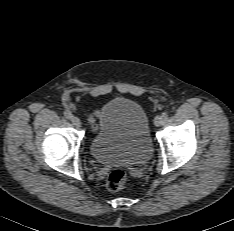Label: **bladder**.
Returning a JSON list of instances; mask_svg holds the SVG:
<instances>
[{
	"instance_id": "obj_1",
	"label": "bladder",
	"mask_w": 234,
	"mask_h": 231,
	"mask_svg": "<svg viewBox=\"0 0 234 231\" xmlns=\"http://www.w3.org/2000/svg\"><path fill=\"white\" fill-rule=\"evenodd\" d=\"M91 157L103 165H140L153 151L148 117L143 107L116 97L101 109L100 122L89 146Z\"/></svg>"
}]
</instances>
